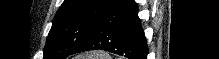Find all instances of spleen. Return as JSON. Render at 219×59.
<instances>
[{"label": "spleen", "instance_id": "spleen-1", "mask_svg": "<svg viewBox=\"0 0 219 59\" xmlns=\"http://www.w3.org/2000/svg\"><path fill=\"white\" fill-rule=\"evenodd\" d=\"M104 58L109 59L110 57L103 55L101 52H94L93 54L86 56V59H104Z\"/></svg>", "mask_w": 219, "mask_h": 59}]
</instances>
